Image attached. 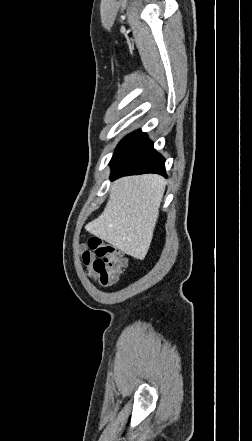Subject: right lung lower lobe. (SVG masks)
<instances>
[{
    "instance_id": "obj_1",
    "label": "right lung lower lobe",
    "mask_w": 252,
    "mask_h": 441,
    "mask_svg": "<svg viewBox=\"0 0 252 441\" xmlns=\"http://www.w3.org/2000/svg\"><path fill=\"white\" fill-rule=\"evenodd\" d=\"M111 179L125 175L158 173L166 175L165 160L155 151L145 133L135 131L110 162Z\"/></svg>"
}]
</instances>
